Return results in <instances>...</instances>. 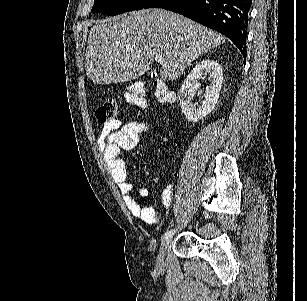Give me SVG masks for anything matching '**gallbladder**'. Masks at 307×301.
<instances>
[{"label": "gallbladder", "mask_w": 307, "mask_h": 301, "mask_svg": "<svg viewBox=\"0 0 307 301\" xmlns=\"http://www.w3.org/2000/svg\"><path fill=\"white\" fill-rule=\"evenodd\" d=\"M149 76H151V78H156V76H158V72H156V70H152V72H149Z\"/></svg>", "instance_id": "gallbladder-1"}]
</instances>
